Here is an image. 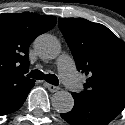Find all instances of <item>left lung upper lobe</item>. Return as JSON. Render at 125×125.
<instances>
[{"instance_id":"left-lung-upper-lobe-1","label":"left lung upper lobe","mask_w":125,"mask_h":125,"mask_svg":"<svg viewBox=\"0 0 125 125\" xmlns=\"http://www.w3.org/2000/svg\"><path fill=\"white\" fill-rule=\"evenodd\" d=\"M58 25L78 71L89 77L79 94L125 102V43L104 25L85 19L59 18Z\"/></svg>"}]
</instances>
